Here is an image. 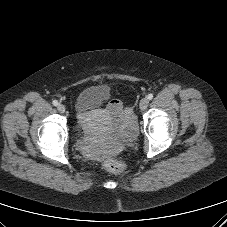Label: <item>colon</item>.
Here are the masks:
<instances>
[{
	"label": "colon",
	"instance_id": "obj_1",
	"mask_svg": "<svg viewBox=\"0 0 227 227\" xmlns=\"http://www.w3.org/2000/svg\"><path fill=\"white\" fill-rule=\"evenodd\" d=\"M103 167L112 173H121L125 169V164L117 159L107 157L103 162Z\"/></svg>",
	"mask_w": 227,
	"mask_h": 227
}]
</instances>
